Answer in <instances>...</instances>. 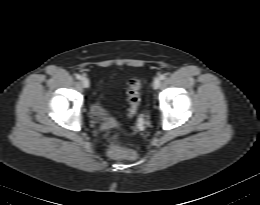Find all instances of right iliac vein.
Masks as SVG:
<instances>
[{
  "mask_svg": "<svg viewBox=\"0 0 260 205\" xmlns=\"http://www.w3.org/2000/svg\"><path fill=\"white\" fill-rule=\"evenodd\" d=\"M81 84L84 88H88L90 86V82L86 77L81 78Z\"/></svg>",
  "mask_w": 260,
  "mask_h": 205,
  "instance_id": "obj_1",
  "label": "right iliac vein"
}]
</instances>
